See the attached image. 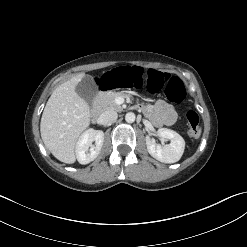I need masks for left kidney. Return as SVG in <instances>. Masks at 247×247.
<instances>
[{
  "label": "left kidney",
  "mask_w": 247,
  "mask_h": 247,
  "mask_svg": "<svg viewBox=\"0 0 247 247\" xmlns=\"http://www.w3.org/2000/svg\"><path fill=\"white\" fill-rule=\"evenodd\" d=\"M158 137L161 141L170 140V144H156L149 136L146 137V145L149 154L163 163H175L183 155L185 141L177 132L167 129H158Z\"/></svg>",
  "instance_id": "obj_1"
}]
</instances>
